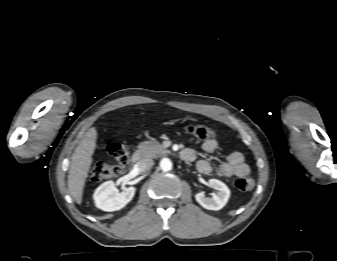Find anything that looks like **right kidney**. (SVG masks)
<instances>
[{
    "label": "right kidney",
    "mask_w": 337,
    "mask_h": 261,
    "mask_svg": "<svg viewBox=\"0 0 337 261\" xmlns=\"http://www.w3.org/2000/svg\"><path fill=\"white\" fill-rule=\"evenodd\" d=\"M136 189L134 187L126 188L119 193L113 181H107L101 184L94 192L93 198L97 208L112 212L122 209L134 197Z\"/></svg>",
    "instance_id": "1"
}]
</instances>
